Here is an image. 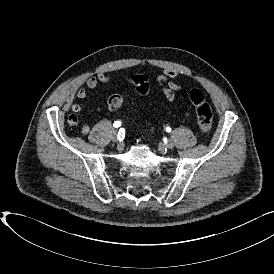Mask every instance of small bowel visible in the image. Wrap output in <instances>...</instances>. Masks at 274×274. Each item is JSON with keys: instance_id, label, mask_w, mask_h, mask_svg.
<instances>
[{"instance_id": "small-bowel-1", "label": "small bowel", "mask_w": 274, "mask_h": 274, "mask_svg": "<svg viewBox=\"0 0 274 274\" xmlns=\"http://www.w3.org/2000/svg\"><path fill=\"white\" fill-rule=\"evenodd\" d=\"M112 81V77L105 73L99 72L97 75H93L87 78L85 85L81 86L76 93L78 100L86 99L88 90L96 89L99 84H108ZM156 82L161 89V92L165 99L173 103L176 100V93L183 90V83L181 80V74L174 69H163L156 78ZM82 104L79 101L74 102L71 105V110L74 113L80 112ZM82 134H88L90 131V125L84 123L80 126Z\"/></svg>"}]
</instances>
